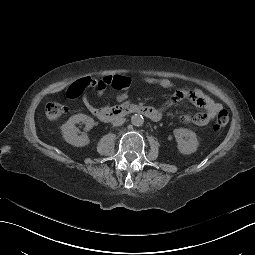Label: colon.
I'll return each mask as SVG.
<instances>
[{
	"label": "colon",
	"mask_w": 255,
	"mask_h": 255,
	"mask_svg": "<svg viewBox=\"0 0 255 255\" xmlns=\"http://www.w3.org/2000/svg\"><path fill=\"white\" fill-rule=\"evenodd\" d=\"M127 84H128L127 78L122 76H107L101 79L100 81H97L92 78H84L71 85L70 89L73 92L80 94L86 89H91L94 91L106 89L107 87L121 89L124 88ZM65 111H66L65 105L58 102H51L46 106V116L51 120H55L61 117L65 113ZM228 122L229 115L227 111L221 110L217 115L214 128L216 130L223 129L228 124Z\"/></svg>",
	"instance_id": "5ec220e1"
}]
</instances>
